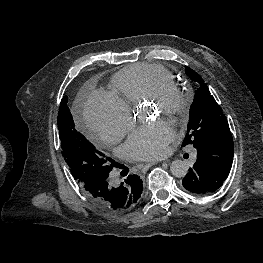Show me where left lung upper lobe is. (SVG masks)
<instances>
[{
  "instance_id": "obj_1",
  "label": "left lung upper lobe",
  "mask_w": 263,
  "mask_h": 263,
  "mask_svg": "<svg viewBox=\"0 0 263 263\" xmlns=\"http://www.w3.org/2000/svg\"><path fill=\"white\" fill-rule=\"evenodd\" d=\"M186 74L196 82L198 89L190 108V120L182 147L193 144L197 148L220 133H230V128L204 80L189 67H186Z\"/></svg>"
}]
</instances>
